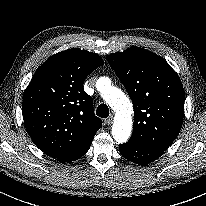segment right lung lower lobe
<instances>
[{"instance_id": "98d812e1", "label": "right lung lower lobe", "mask_w": 206, "mask_h": 206, "mask_svg": "<svg viewBox=\"0 0 206 206\" xmlns=\"http://www.w3.org/2000/svg\"><path fill=\"white\" fill-rule=\"evenodd\" d=\"M90 146H91V144H89L88 146H86L82 150L76 152L75 154L68 155V156H66L58 161L63 162V163L75 161V160L79 159L80 157H82L89 150Z\"/></svg>"}]
</instances>
